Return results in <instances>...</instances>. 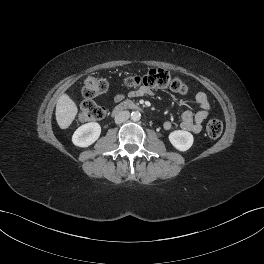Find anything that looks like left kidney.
Wrapping results in <instances>:
<instances>
[{"mask_svg": "<svg viewBox=\"0 0 264 264\" xmlns=\"http://www.w3.org/2000/svg\"><path fill=\"white\" fill-rule=\"evenodd\" d=\"M170 143L179 151H187L193 144V135L184 130H176L168 136Z\"/></svg>", "mask_w": 264, "mask_h": 264, "instance_id": "obj_1", "label": "left kidney"}]
</instances>
